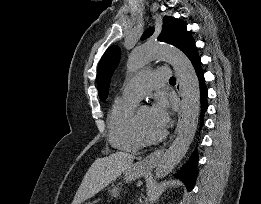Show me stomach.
<instances>
[{"instance_id": "obj_1", "label": "stomach", "mask_w": 261, "mask_h": 204, "mask_svg": "<svg viewBox=\"0 0 261 204\" xmlns=\"http://www.w3.org/2000/svg\"><path fill=\"white\" fill-rule=\"evenodd\" d=\"M148 170V168L142 167L140 163L132 164L127 170L124 171L123 179L126 183H128L136 178L143 176ZM119 185H122V183H118L117 185L112 184V188H109V193L111 196L115 198L119 196L121 190Z\"/></svg>"}]
</instances>
